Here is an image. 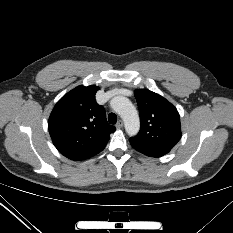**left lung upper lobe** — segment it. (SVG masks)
I'll use <instances>...</instances> for the list:
<instances>
[{"instance_id": "obj_1", "label": "left lung upper lobe", "mask_w": 233, "mask_h": 233, "mask_svg": "<svg viewBox=\"0 0 233 233\" xmlns=\"http://www.w3.org/2000/svg\"><path fill=\"white\" fill-rule=\"evenodd\" d=\"M134 94L141 127L138 135L129 140L140 150L161 157L181 138L179 113L170 102L157 93L138 89Z\"/></svg>"}]
</instances>
